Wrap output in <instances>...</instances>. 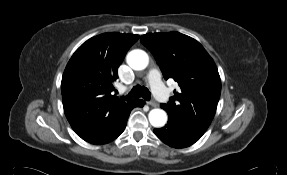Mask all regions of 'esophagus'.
Segmentation results:
<instances>
[{"label": "esophagus", "instance_id": "esophagus-1", "mask_svg": "<svg viewBox=\"0 0 287 175\" xmlns=\"http://www.w3.org/2000/svg\"><path fill=\"white\" fill-rule=\"evenodd\" d=\"M148 104L152 107H158V103L154 100L149 101Z\"/></svg>", "mask_w": 287, "mask_h": 175}]
</instances>
